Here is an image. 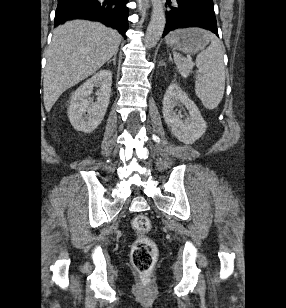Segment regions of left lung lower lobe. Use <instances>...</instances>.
<instances>
[{
	"label": "left lung lower lobe",
	"instance_id": "1",
	"mask_svg": "<svg viewBox=\"0 0 286 308\" xmlns=\"http://www.w3.org/2000/svg\"><path fill=\"white\" fill-rule=\"evenodd\" d=\"M167 2L170 6L171 0ZM166 18L163 36L171 30L187 27L208 29L218 36L213 0H173Z\"/></svg>",
	"mask_w": 286,
	"mask_h": 308
}]
</instances>
